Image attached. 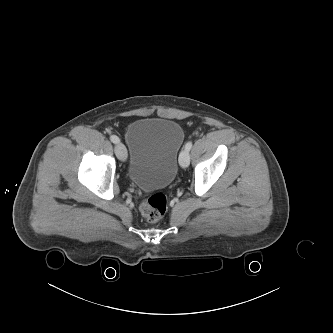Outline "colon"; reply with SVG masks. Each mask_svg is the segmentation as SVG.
<instances>
[{
	"label": "colon",
	"mask_w": 333,
	"mask_h": 333,
	"mask_svg": "<svg viewBox=\"0 0 333 333\" xmlns=\"http://www.w3.org/2000/svg\"><path fill=\"white\" fill-rule=\"evenodd\" d=\"M167 211V198L162 193L151 195L140 206L142 216L150 223L161 220Z\"/></svg>",
	"instance_id": "colon-1"
}]
</instances>
